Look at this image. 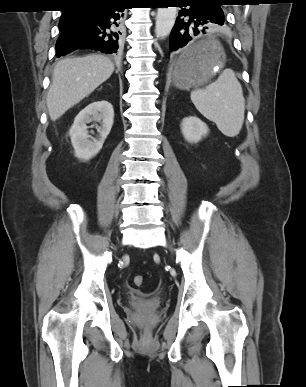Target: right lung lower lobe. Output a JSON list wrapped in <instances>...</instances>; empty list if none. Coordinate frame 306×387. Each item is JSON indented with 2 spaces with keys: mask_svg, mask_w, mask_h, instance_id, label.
I'll return each mask as SVG.
<instances>
[{
  "mask_svg": "<svg viewBox=\"0 0 306 387\" xmlns=\"http://www.w3.org/2000/svg\"><path fill=\"white\" fill-rule=\"evenodd\" d=\"M126 3L112 0L102 5H87L72 10L79 19L75 25L60 29L56 56L75 49H94L117 53L122 46V19Z\"/></svg>",
  "mask_w": 306,
  "mask_h": 387,
  "instance_id": "obj_1",
  "label": "right lung lower lobe"
}]
</instances>
